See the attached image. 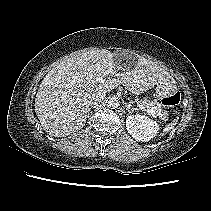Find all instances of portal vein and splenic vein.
<instances>
[{"mask_svg":"<svg viewBox=\"0 0 211 211\" xmlns=\"http://www.w3.org/2000/svg\"><path fill=\"white\" fill-rule=\"evenodd\" d=\"M99 82H104V79H100ZM137 107L139 109H141L142 111H145L147 113H151L152 115H155V111L152 110V109H149L148 107H145L144 105L140 104V103H137Z\"/></svg>","mask_w":211,"mask_h":211,"instance_id":"obj_1","label":"portal vein and splenic vein"}]
</instances>
